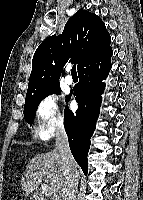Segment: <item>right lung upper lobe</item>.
I'll return each instance as SVG.
<instances>
[{
    "mask_svg": "<svg viewBox=\"0 0 143 200\" xmlns=\"http://www.w3.org/2000/svg\"><path fill=\"white\" fill-rule=\"evenodd\" d=\"M111 37L95 14L78 10L66 23L61 35L50 36L35 51L26 97L59 84L62 67L68 59L78 71L89 60L110 48Z\"/></svg>",
    "mask_w": 143,
    "mask_h": 200,
    "instance_id": "right-lung-upper-lobe-1",
    "label": "right lung upper lobe"
}]
</instances>
